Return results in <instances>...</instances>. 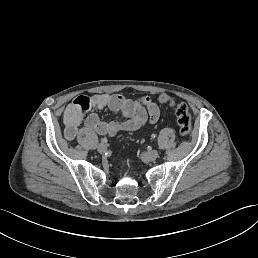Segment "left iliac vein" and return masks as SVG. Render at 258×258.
<instances>
[{"instance_id": "left-iliac-vein-1", "label": "left iliac vein", "mask_w": 258, "mask_h": 258, "mask_svg": "<svg viewBox=\"0 0 258 258\" xmlns=\"http://www.w3.org/2000/svg\"><path fill=\"white\" fill-rule=\"evenodd\" d=\"M158 150H152L150 153H140V158H144V162H149V160H154L158 156Z\"/></svg>"}]
</instances>
